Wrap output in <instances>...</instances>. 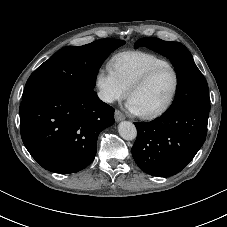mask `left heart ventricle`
<instances>
[{"label":"left heart ventricle","mask_w":227,"mask_h":227,"mask_svg":"<svg viewBox=\"0 0 227 227\" xmlns=\"http://www.w3.org/2000/svg\"><path fill=\"white\" fill-rule=\"evenodd\" d=\"M174 75L171 70L158 72L145 86L136 90L130 97L139 112H151L165 104L174 87Z\"/></svg>","instance_id":"left-heart-ventricle-1"}]
</instances>
